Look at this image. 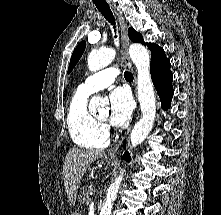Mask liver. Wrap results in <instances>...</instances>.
Here are the masks:
<instances>
[{"label":"liver","instance_id":"obj_1","mask_svg":"<svg viewBox=\"0 0 221 215\" xmlns=\"http://www.w3.org/2000/svg\"><path fill=\"white\" fill-rule=\"evenodd\" d=\"M105 155L103 151L73 148L68 151L64 165V186L69 201L75 205L77 190L88 166Z\"/></svg>","mask_w":221,"mask_h":215}]
</instances>
